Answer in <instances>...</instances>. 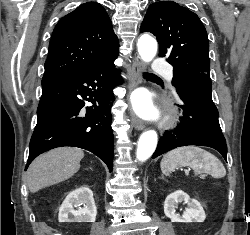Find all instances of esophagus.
Listing matches in <instances>:
<instances>
[{
    "label": "esophagus",
    "instance_id": "1",
    "mask_svg": "<svg viewBox=\"0 0 250 235\" xmlns=\"http://www.w3.org/2000/svg\"><path fill=\"white\" fill-rule=\"evenodd\" d=\"M142 71L143 65L141 61L139 59H135L131 67L132 79L130 81V90H133L142 82ZM131 122L136 130H143L145 127V123L140 118H138L134 112L131 114Z\"/></svg>",
    "mask_w": 250,
    "mask_h": 235
}]
</instances>
